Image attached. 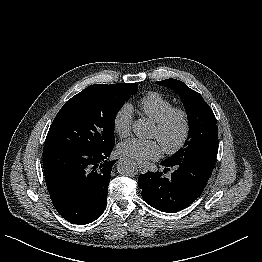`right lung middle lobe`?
Instances as JSON below:
<instances>
[{"mask_svg":"<svg viewBox=\"0 0 262 262\" xmlns=\"http://www.w3.org/2000/svg\"><path fill=\"white\" fill-rule=\"evenodd\" d=\"M137 88L135 83L87 87L60 109L50 126L44 147L105 149L113 146L116 114Z\"/></svg>","mask_w":262,"mask_h":262,"instance_id":"1","label":"right lung middle lobe"}]
</instances>
